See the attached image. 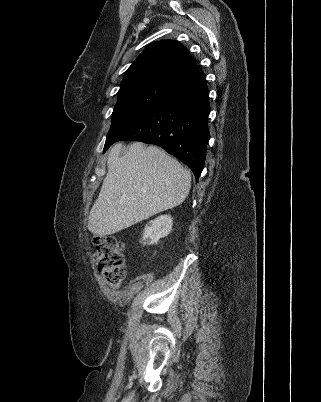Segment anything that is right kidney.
<instances>
[{
    "instance_id": "right-kidney-1",
    "label": "right kidney",
    "mask_w": 321,
    "mask_h": 402,
    "mask_svg": "<svg viewBox=\"0 0 321 402\" xmlns=\"http://www.w3.org/2000/svg\"><path fill=\"white\" fill-rule=\"evenodd\" d=\"M173 220L170 215H161L150 221L144 228V244H157L160 238L166 237L172 229Z\"/></svg>"
}]
</instances>
